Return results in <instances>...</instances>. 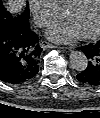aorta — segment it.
Returning <instances> with one entry per match:
<instances>
[{
	"instance_id": "obj_1",
	"label": "aorta",
	"mask_w": 100,
	"mask_h": 118,
	"mask_svg": "<svg viewBox=\"0 0 100 118\" xmlns=\"http://www.w3.org/2000/svg\"><path fill=\"white\" fill-rule=\"evenodd\" d=\"M71 67L77 71H84L88 65L86 55L81 51H72L70 54Z\"/></svg>"
}]
</instances>
